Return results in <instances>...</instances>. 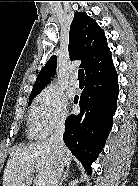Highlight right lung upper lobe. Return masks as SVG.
<instances>
[{"mask_svg":"<svg viewBox=\"0 0 138 186\" xmlns=\"http://www.w3.org/2000/svg\"><path fill=\"white\" fill-rule=\"evenodd\" d=\"M69 55L82 60L85 80L116 74L104 31L86 13L76 12L70 26ZM56 56H52L39 72L30 95L39 94L55 74Z\"/></svg>","mask_w":138,"mask_h":186,"instance_id":"1","label":"right lung upper lobe"}]
</instances>
